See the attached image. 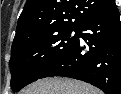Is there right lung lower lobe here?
<instances>
[{
    "instance_id": "right-lung-lower-lobe-1",
    "label": "right lung lower lobe",
    "mask_w": 121,
    "mask_h": 94,
    "mask_svg": "<svg viewBox=\"0 0 121 94\" xmlns=\"http://www.w3.org/2000/svg\"><path fill=\"white\" fill-rule=\"evenodd\" d=\"M74 47L41 77L64 76L88 82L105 94H121V22L114 3L85 20ZM81 37L89 47L80 44Z\"/></svg>"
}]
</instances>
